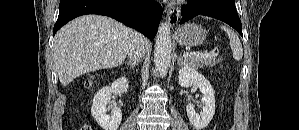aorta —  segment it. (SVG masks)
<instances>
[{"mask_svg": "<svg viewBox=\"0 0 299 130\" xmlns=\"http://www.w3.org/2000/svg\"><path fill=\"white\" fill-rule=\"evenodd\" d=\"M171 35L170 25L167 22L161 23L156 36L154 49V64L155 69L161 77L167 74L171 63Z\"/></svg>", "mask_w": 299, "mask_h": 130, "instance_id": "1", "label": "aorta"}]
</instances>
